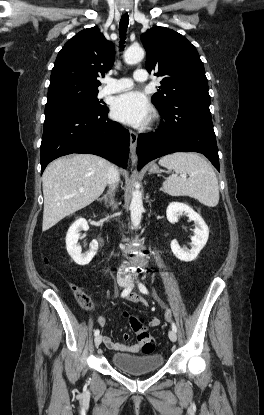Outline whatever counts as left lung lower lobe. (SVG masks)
Wrapping results in <instances>:
<instances>
[{
	"label": "left lung lower lobe",
	"instance_id": "left-lung-lower-lobe-1",
	"mask_svg": "<svg viewBox=\"0 0 264 415\" xmlns=\"http://www.w3.org/2000/svg\"><path fill=\"white\" fill-rule=\"evenodd\" d=\"M209 105L208 98L186 97L158 109L161 115L159 128L138 136V169L169 153L189 151L204 154L219 171L218 148Z\"/></svg>",
	"mask_w": 264,
	"mask_h": 415
}]
</instances>
